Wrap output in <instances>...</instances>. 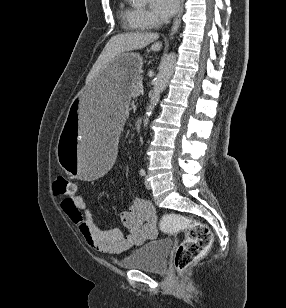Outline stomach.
<instances>
[{
    "mask_svg": "<svg viewBox=\"0 0 286 308\" xmlns=\"http://www.w3.org/2000/svg\"><path fill=\"white\" fill-rule=\"evenodd\" d=\"M142 65L137 53L110 60L71 101L69 118L62 119L57 159L77 182H100L112 168L117 159L116 127L125 125L126 106Z\"/></svg>",
    "mask_w": 286,
    "mask_h": 308,
    "instance_id": "0dacf381",
    "label": "stomach"
}]
</instances>
